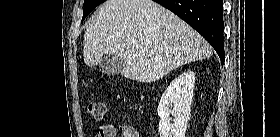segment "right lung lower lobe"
<instances>
[{
    "instance_id": "1",
    "label": "right lung lower lobe",
    "mask_w": 280,
    "mask_h": 137,
    "mask_svg": "<svg viewBox=\"0 0 280 137\" xmlns=\"http://www.w3.org/2000/svg\"><path fill=\"white\" fill-rule=\"evenodd\" d=\"M198 31L215 49L223 64V0H154Z\"/></svg>"
}]
</instances>
